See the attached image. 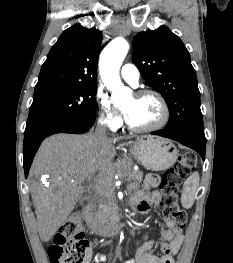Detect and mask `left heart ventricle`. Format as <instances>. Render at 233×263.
Segmentation results:
<instances>
[{
	"mask_svg": "<svg viewBox=\"0 0 233 263\" xmlns=\"http://www.w3.org/2000/svg\"><path fill=\"white\" fill-rule=\"evenodd\" d=\"M123 111L129 114L128 122L136 127L153 125L162 116L160 104L151 96L144 98L132 96L123 106Z\"/></svg>",
	"mask_w": 233,
	"mask_h": 263,
	"instance_id": "obj_1",
	"label": "left heart ventricle"
}]
</instances>
